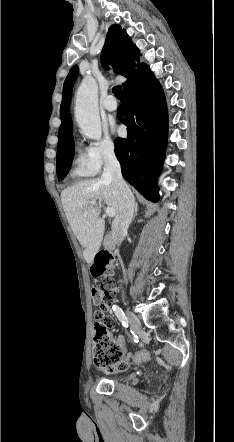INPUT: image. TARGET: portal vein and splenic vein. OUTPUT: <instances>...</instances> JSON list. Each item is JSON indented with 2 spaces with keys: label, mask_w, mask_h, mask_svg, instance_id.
<instances>
[{
  "label": "portal vein and splenic vein",
  "mask_w": 234,
  "mask_h": 442,
  "mask_svg": "<svg viewBox=\"0 0 234 442\" xmlns=\"http://www.w3.org/2000/svg\"><path fill=\"white\" fill-rule=\"evenodd\" d=\"M92 205L93 206H97L98 204L96 203V202H92ZM100 206H101V204H99ZM105 213H106V215L107 216H109V217H114L115 216V210L114 209H112V208H110V207H107V208H105Z\"/></svg>",
  "instance_id": "obj_1"
}]
</instances>
